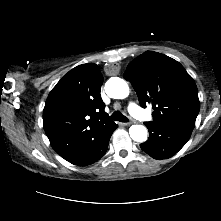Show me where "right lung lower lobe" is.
<instances>
[{"mask_svg":"<svg viewBox=\"0 0 221 221\" xmlns=\"http://www.w3.org/2000/svg\"><path fill=\"white\" fill-rule=\"evenodd\" d=\"M117 127L118 125L114 123L109 129L101 133L89 148L69 162L74 165L84 166L99 160L106 153L110 137Z\"/></svg>","mask_w":221,"mask_h":221,"instance_id":"obj_1","label":"right lung lower lobe"}]
</instances>
